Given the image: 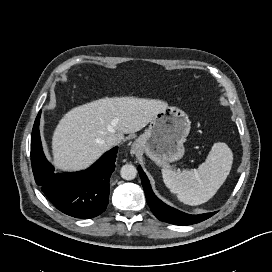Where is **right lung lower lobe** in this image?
Segmentation results:
<instances>
[{
  "instance_id": "obj_1",
  "label": "right lung lower lobe",
  "mask_w": 272,
  "mask_h": 272,
  "mask_svg": "<svg viewBox=\"0 0 272 272\" xmlns=\"http://www.w3.org/2000/svg\"><path fill=\"white\" fill-rule=\"evenodd\" d=\"M38 113L31 134V163L35 182L61 212L75 218H93L105 211L109 181L115 168L118 147L100 157L90 168L74 173L55 172L44 156Z\"/></svg>"
}]
</instances>
